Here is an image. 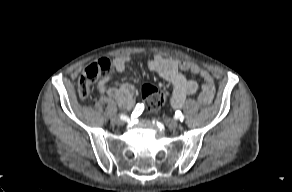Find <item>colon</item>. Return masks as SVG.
Returning <instances> with one entry per match:
<instances>
[{"instance_id": "obj_1", "label": "colon", "mask_w": 292, "mask_h": 192, "mask_svg": "<svg viewBox=\"0 0 292 192\" xmlns=\"http://www.w3.org/2000/svg\"><path fill=\"white\" fill-rule=\"evenodd\" d=\"M111 62L106 59H98L89 64L82 72L78 81V95L85 99L91 92L92 83L101 76H106L112 71ZM142 97L146 109L149 111L158 109L165 101V93L152 85H145L142 88Z\"/></svg>"}]
</instances>
